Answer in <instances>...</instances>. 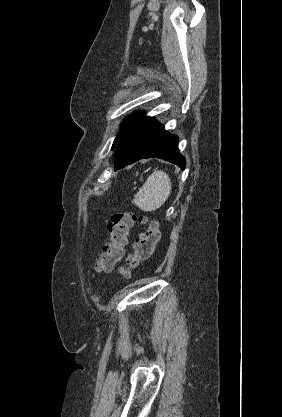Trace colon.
<instances>
[{"instance_id":"5ec220e1","label":"colon","mask_w":282,"mask_h":417,"mask_svg":"<svg viewBox=\"0 0 282 417\" xmlns=\"http://www.w3.org/2000/svg\"><path fill=\"white\" fill-rule=\"evenodd\" d=\"M140 223L145 227V233L135 241L134 252L126 264L120 268V276L127 278L141 263L150 260L160 241L159 224L145 216H138L132 211H117L108 222L109 241L105 250L97 259V269L108 272L119 263L125 252L129 232L134 224Z\"/></svg>"}]
</instances>
